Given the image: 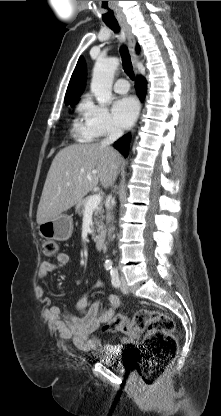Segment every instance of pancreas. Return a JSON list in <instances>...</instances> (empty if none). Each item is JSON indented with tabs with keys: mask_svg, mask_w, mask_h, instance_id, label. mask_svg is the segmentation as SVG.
<instances>
[{
	"mask_svg": "<svg viewBox=\"0 0 221 416\" xmlns=\"http://www.w3.org/2000/svg\"><path fill=\"white\" fill-rule=\"evenodd\" d=\"M89 198H90V196L82 199L81 201H79L77 203V205L75 207V212L79 216H82L84 214V212H85V205H86L87 201L89 200ZM103 213H104V209H103V205L102 204H99L98 207H96L93 210V215H94L93 220H94V224L99 227L97 231H100L101 225L103 224V219H104ZM92 231L95 232L94 227H93Z\"/></svg>",
	"mask_w": 221,
	"mask_h": 416,
	"instance_id": "obj_1",
	"label": "pancreas"
}]
</instances>
